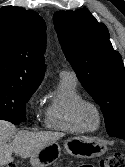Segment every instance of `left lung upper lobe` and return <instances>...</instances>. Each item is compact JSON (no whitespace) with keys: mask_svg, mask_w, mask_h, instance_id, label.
I'll return each mask as SVG.
<instances>
[{"mask_svg":"<svg viewBox=\"0 0 125 167\" xmlns=\"http://www.w3.org/2000/svg\"><path fill=\"white\" fill-rule=\"evenodd\" d=\"M53 20L67 60L101 107L107 133L125 139V68L107 27L86 8L57 11Z\"/></svg>","mask_w":125,"mask_h":167,"instance_id":"left-lung-upper-lobe-1","label":"left lung upper lobe"}]
</instances>
